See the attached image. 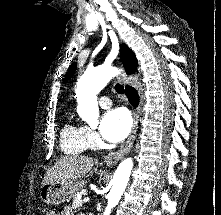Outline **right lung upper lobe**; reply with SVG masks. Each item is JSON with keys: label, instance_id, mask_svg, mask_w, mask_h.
<instances>
[{"label": "right lung upper lobe", "instance_id": "1", "mask_svg": "<svg viewBox=\"0 0 221 215\" xmlns=\"http://www.w3.org/2000/svg\"><path fill=\"white\" fill-rule=\"evenodd\" d=\"M120 55L122 63L127 71V74H132L137 68V60L131 49H129L125 44L121 45Z\"/></svg>", "mask_w": 221, "mask_h": 215}]
</instances>
